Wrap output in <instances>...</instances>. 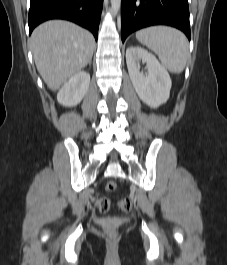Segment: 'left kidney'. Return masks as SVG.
<instances>
[{
	"label": "left kidney",
	"mask_w": 227,
	"mask_h": 265,
	"mask_svg": "<svg viewBox=\"0 0 227 265\" xmlns=\"http://www.w3.org/2000/svg\"><path fill=\"white\" fill-rule=\"evenodd\" d=\"M139 61L146 63L147 75L140 73ZM126 63L134 89L145 104L158 108L167 102L172 82L168 71L154 55L141 47H129L126 50Z\"/></svg>",
	"instance_id": "obj_1"
}]
</instances>
